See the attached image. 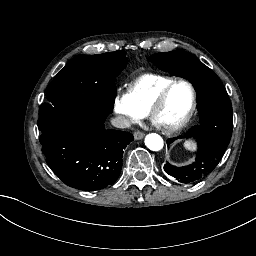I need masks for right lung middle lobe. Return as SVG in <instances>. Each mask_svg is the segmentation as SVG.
Masks as SVG:
<instances>
[{
	"mask_svg": "<svg viewBox=\"0 0 256 256\" xmlns=\"http://www.w3.org/2000/svg\"><path fill=\"white\" fill-rule=\"evenodd\" d=\"M128 60L125 51L78 55L56 75L40 106L38 128L48 121L73 114L106 118L113 110L116 76Z\"/></svg>",
	"mask_w": 256,
	"mask_h": 256,
	"instance_id": "right-lung-middle-lobe-1",
	"label": "right lung middle lobe"
}]
</instances>
